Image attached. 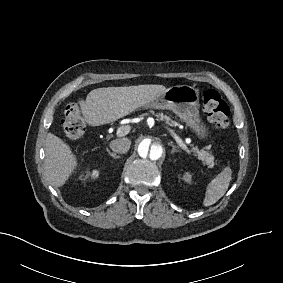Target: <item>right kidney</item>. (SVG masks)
Instances as JSON below:
<instances>
[{"mask_svg": "<svg viewBox=\"0 0 283 283\" xmlns=\"http://www.w3.org/2000/svg\"><path fill=\"white\" fill-rule=\"evenodd\" d=\"M99 176V171L98 170H93L92 172L87 171L85 175V179L91 177L92 179H95Z\"/></svg>", "mask_w": 283, "mask_h": 283, "instance_id": "right-kidney-1", "label": "right kidney"}]
</instances>
